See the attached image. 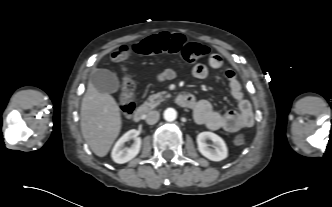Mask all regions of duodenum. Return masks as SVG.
Segmentation results:
<instances>
[{
    "label": "duodenum",
    "instance_id": "410a0bca",
    "mask_svg": "<svg viewBox=\"0 0 332 207\" xmlns=\"http://www.w3.org/2000/svg\"><path fill=\"white\" fill-rule=\"evenodd\" d=\"M176 102L181 107L191 108V107H193V105L195 103V98L190 93L182 92L177 96ZM148 112H149L148 106H142V107L138 108L133 114V120L135 122H140V121L144 120V118Z\"/></svg>",
    "mask_w": 332,
    "mask_h": 207
}]
</instances>
